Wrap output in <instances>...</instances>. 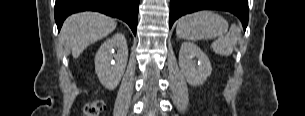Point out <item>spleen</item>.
Masks as SVG:
<instances>
[{"label":"spleen","instance_id":"1","mask_svg":"<svg viewBox=\"0 0 305 116\" xmlns=\"http://www.w3.org/2000/svg\"><path fill=\"white\" fill-rule=\"evenodd\" d=\"M228 30L227 21L220 15L211 11H198L181 17L176 27L178 38L188 41H198L202 39H213L221 51H225L226 34Z\"/></svg>","mask_w":305,"mask_h":116}]
</instances>
